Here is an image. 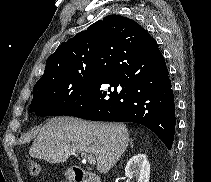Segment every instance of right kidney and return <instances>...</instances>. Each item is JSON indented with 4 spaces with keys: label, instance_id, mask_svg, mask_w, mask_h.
Listing matches in <instances>:
<instances>
[{
    "label": "right kidney",
    "instance_id": "right-kidney-1",
    "mask_svg": "<svg viewBox=\"0 0 211 182\" xmlns=\"http://www.w3.org/2000/svg\"><path fill=\"white\" fill-rule=\"evenodd\" d=\"M125 176L128 179L135 178L136 182H149L150 163L145 154H137L132 157L125 168Z\"/></svg>",
    "mask_w": 211,
    "mask_h": 182
}]
</instances>
